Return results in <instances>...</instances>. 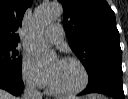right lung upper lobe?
<instances>
[{
    "instance_id": "right-lung-upper-lobe-1",
    "label": "right lung upper lobe",
    "mask_w": 128,
    "mask_h": 99,
    "mask_svg": "<svg viewBox=\"0 0 128 99\" xmlns=\"http://www.w3.org/2000/svg\"><path fill=\"white\" fill-rule=\"evenodd\" d=\"M32 0H0V44L17 45L24 13Z\"/></svg>"
}]
</instances>
